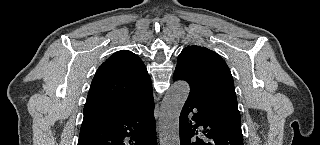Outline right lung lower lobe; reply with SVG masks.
<instances>
[{
    "label": "right lung lower lobe",
    "mask_w": 320,
    "mask_h": 145,
    "mask_svg": "<svg viewBox=\"0 0 320 145\" xmlns=\"http://www.w3.org/2000/svg\"><path fill=\"white\" fill-rule=\"evenodd\" d=\"M153 94L124 115L81 125L78 145H156Z\"/></svg>",
    "instance_id": "obj_1"
}]
</instances>
